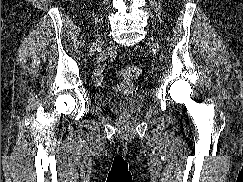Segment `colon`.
<instances>
[{"mask_svg": "<svg viewBox=\"0 0 243 182\" xmlns=\"http://www.w3.org/2000/svg\"><path fill=\"white\" fill-rule=\"evenodd\" d=\"M141 74V69L137 66H127L121 70V75L126 80H133L139 77Z\"/></svg>", "mask_w": 243, "mask_h": 182, "instance_id": "5ec220e1", "label": "colon"}]
</instances>
